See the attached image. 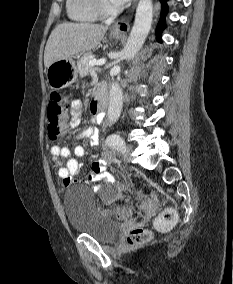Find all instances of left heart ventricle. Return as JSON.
<instances>
[{"label": "left heart ventricle", "instance_id": "b2bd125f", "mask_svg": "<svg viewBox=\"0 0 233 284\" xmlns=\"http://www.w3.org/2000/svg\"><path fill=\"white\" fill-rule=\"evenodd\" d=\"M106 5L110 8L116 7V5L112 2V0H104Z\"/></svg>", "mask_w": 233, "mask_h": 284}]
</instances>
